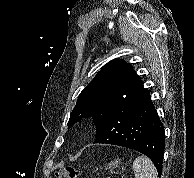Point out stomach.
I'll return each mask as SVG.
<instances>
[{
    "label": "stomach",
    "instance_id": "obj_1",
    "mask_svg": "<svg viewBox=\"0 0 194 178\" xmlns=\"http://www.w3.org/2000/svg\"><path fill=\"white\" fill-rule=\"evenodd\" d=\"M120 164V159H116L115 161H111L108 166H109V169L111 167H118V165Z\"/></svg>",
    "mask_w": 194,
    "mask_h": 178
}]
</instances>
